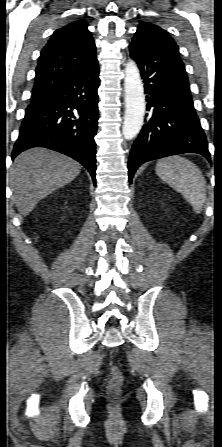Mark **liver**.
Masks as SVG:
<instances>
[{"instance_id": "6515ba94", "label": "liver", "mask_w": 222, "mask_h": 447, "mask_svg": "<svg viewBox=\"0 0 222 447\" xmlns=\"http://www.w3.org/2000/svg\"><path fill=\"white\" fill-rule=\"evenodd\" d=\"M81 165L60 153L43 148L21 153L10 169L14 203L24 217L46 196L74 180Z\"/></svg>"}]
</instances>
